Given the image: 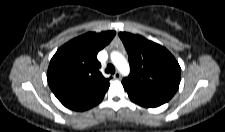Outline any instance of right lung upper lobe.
<instances>
[{
	"label": "right lung upper lobe",
	"mask_w": 225,
	"mask_h": 132,
	"mask_svg": "<svg viewBox=\"0 0 225 132\" xmlns=\"http://www.w3.org/2000/svg\"><path fill=\"white\" fill-rule=\"evenodd\" d=\"M115 34L114 31L88 32L64 44L52 57L47 81L65 107L85 111L102 101L110 84L99 70L97 53Z\"/></svg>",
	"instance_id": "cb5924a9"
}]
</instances>
